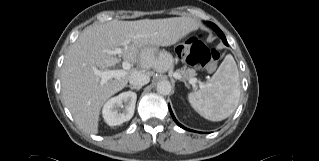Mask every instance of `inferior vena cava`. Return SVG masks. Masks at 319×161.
Listing matches in <instances>:
<instances>
[{"label":"inferior vena cava","instance_id":"602c4592","mask_svg":"<svg viewBox=\"0 0 319 161\" xmlns=\"http://www.w3.org/2000/svg\"><path fill=\"white\" fill-rule=\"evenodd\" d=\"M150 81V77L139 71L133 72L129 77V83L135 87H142L148 84Z\"/></svg>","mask_w":319,"mask_h":161}]
</instances>
